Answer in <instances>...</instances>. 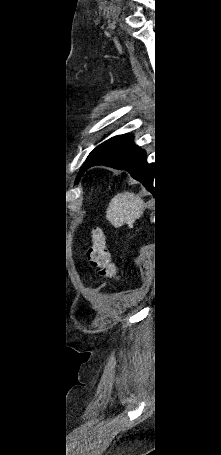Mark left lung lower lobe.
<instances>
[{
	"instance_id": "0a47b994",
	"label": "left lung lower lobe",
	"mask_w": 221,
	"mask_h": 455,
	"mask_svg": "<svg viewBox=\"0 0 221 455\" xmlns=\"http://www.w3.org/2000/svg\"><path fill=\"white\" fill-rule=\"evenodd\" d=\"M94 165L127 170L133 178L142 182L150 192H154V171L146 160V152L133 143V136L129 134L117 136L109 142L84 165L81 174Z\"/></svg>"
}]
</instances>
